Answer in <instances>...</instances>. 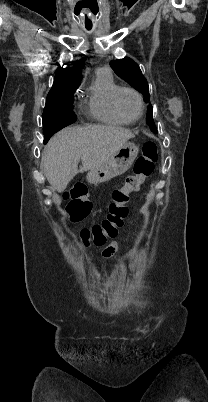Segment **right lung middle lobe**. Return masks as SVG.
Listing matches in <instances>:
<instances>
[{
	"label": "right lung middle lobe",
	"mask_w": 208,
	"mask_h": 402,
	"mask_svg": "<svg viewBox=\"0 0 208 402\" xmlns=\"http://www.w3.org/2000/svg\"><path fill=\"white\" fill-rule=\"evenodd\" d=\"M76 89L55 93L47 96L46 105L43 111V123L51 121H61L64 124H72L77 120L73 112V93ZM44 136V144H46Z\"/></svg>",
	"instance_id": "obj_1"
}]
</instances>
